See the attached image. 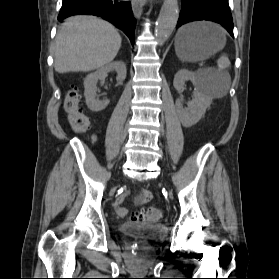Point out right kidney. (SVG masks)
<instances>
[{
    "label": "right kidney",
    "instance_id": "ca27d5eb",
    "mask_svg": "<svg viewBox=\"0 0 279 279\" xmlns=\"http://www.w3.org/2000/svg\"><path fill=\"white\" fill-rule=\"evenodd\" d=\"M111 71L117 72V80L123 81L126 78V65L122 61H114L112 63H109L97 71L90 73L87 75V77L84 79V96L86 99V104L88 108L93 112H99L105 109L108 104L109 100H103L99 101L96 99V91H97V82L100 80L103 82L105 78L107 77V74Z\"/></svg>",
    "mask_w": 279,
    "mask_h": 279
}]
</instances>
